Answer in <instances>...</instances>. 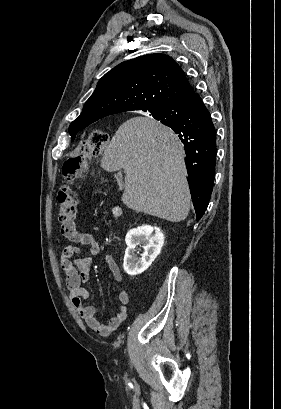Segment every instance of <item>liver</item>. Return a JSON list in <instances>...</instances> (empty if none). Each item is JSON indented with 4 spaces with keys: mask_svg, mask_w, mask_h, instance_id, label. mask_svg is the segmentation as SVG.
Wrapping results in <instances>:
<instances>
[{
    "mask_svg": "<svg viewBox=\"0 0 281 409\" xmlns=\"http://www.w3.org/2000/svg\"><path fill=\"white\" fill-rule=\"evenodd\" d=\"M108 172H125L122 202L133 211L171 223L185 221L190 188L183 146L171 128L150 116L122 122L101 158Z\"/></svg>",
    "mask_w": 281,
    "mask_h": 409,
    "instance_id": "6515ba94",
    "label": "liver"
}]
</instances>
